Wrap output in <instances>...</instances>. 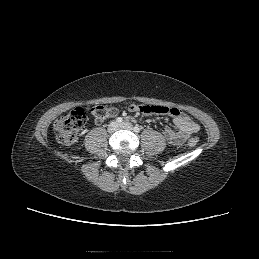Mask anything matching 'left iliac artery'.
I'll return each instance as SVG.
<instances>
[{
	"mask_svg": "<svg viewBox=\"0 0 259 259\" xmlns=\"http://www.w3.org/2000/svg\"><path fill=\"white\" fill-rule=\"evenodd\" d=\"M134 132H136V133L140 132V128L138 126H135L134 127Z\"/></svg>",
	"mask_w": 259,
	"mask_h": 259,
	"instance_id": "left-iliac-artery-1",
	"label": "left iliac artery"
}]
</instances>
